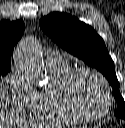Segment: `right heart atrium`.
<instances>
[{
	"label": "right heart atrium",
	"mask_w": 125,
	"mask_h": 128,
	"mask_svg": "<svg viewBox=\"0 0 125 128\" xmlns=\"http://www.w3.org/2000/svg\"><path fill=\"white\" fill-rule=\"evenodd\" d=\"M10 84L13 105L22 110L30 108L37 91L28 76L20 70H14L10 74Z\"/></svg>",
	"instance_id": "right-heart-atrium-1"
}]
</instances>
